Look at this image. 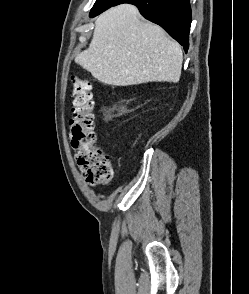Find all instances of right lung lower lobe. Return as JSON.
Masks as SVG:
<instances>
[{
	"instance_id": "1",
	"label": "right lung lower lobe",
	"mask_w": 249,
	"mask_h": 294,
	"mask_svg": "<svg viewBox=\"0 0 249 294\" xmlns=\"http://www.w3.org/2000/svg\"><path fill=\"white\" fill-rule=\"evenodd\" d=\"M122 3L136 5L140 13L146 19L165 29V31L177 40L187 52L191 25V8L189 0H120L112 6ZM103 11H100L91 17H95Z\"/></svg>"
}]
</instances>
